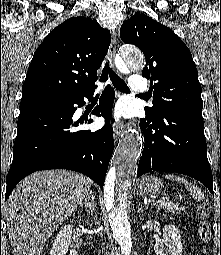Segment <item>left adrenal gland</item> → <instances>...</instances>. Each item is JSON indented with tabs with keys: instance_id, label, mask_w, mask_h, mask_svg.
Returning a JSON list of instances; mask_svg holds the SVG:
<instances>
[{
	"instance_id": "1",
	"label": "left adrenal gland",
	"mask_w": 221,
	"mask_h": 255,
	"mask_svg": "<svg viewBox=\"0 0 221 255\" xmlns=\"http://www.w3.org/2000/svg\"><path fill=\"white\" fill-rule=\"evenodd\" d=\"M143 208H144V206L139 202L138 205H137V212L138 213H142L143 212Z\"/></svg>"
}]
</instances>
